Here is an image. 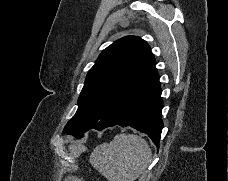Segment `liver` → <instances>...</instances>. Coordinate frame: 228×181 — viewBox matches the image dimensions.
I'll list each match as a JSON object with an SVG mask.
<instances>
[{
  "label": "liver",
  "instance_id": "1",
  "mask_svg": "<svg viewBox=\"0 0 228 181\" xmlns=\"http://www.w3.org/2000/svg\"><path fill=\"white\" fill-rule=\"evenodd\" d=\"M74 145H70L69 149H79V151H85L86 147L84 145H81L79 141H73Z\"/></svg>",
  "mask_w": 228,
  "mask_h": 181
}]
</instances>
